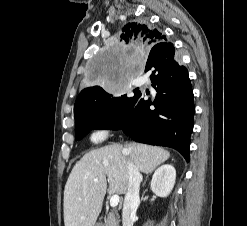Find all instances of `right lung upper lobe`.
Returning a JSON list of instances; mask_svg holds the SVG:
<instances>
[{
    "label": "right lung upper lobe",
    "instance_id": "right-lung-upper-lobe-1",
    "mask_svg": "<svg viewBox=\"0 0 247 226\" xmlns=\"http://www.w3.org/2000/svg\"><path fill=\"white\" fill-rule=\"evenodd\" d=\"M166 36L159 30L144 22H129L123 28L119 36L121 46L128 44H138L144 47H152L156 44L166 42ZM100 88L98 86H91L84 88L77 97L75 106L85 98L93 95Z\"/></svg>",
    "mask_w": 247,
    "mask_h": 226
}]
</instances>
